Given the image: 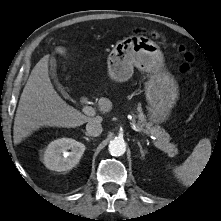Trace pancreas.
<instances>
[{
	"label": "pancreas",
	"instance_id": "cf45deb5",
	"mask_svg": "<svg viewBox=\"0 0 221 221\" xmlns=\"http://www.w3.org/2000/svg\"><path fill=\"white\" fill-rule=\"evenodd\" d=\"M137 111L138 115L136 117L139 119L137 127L145 134L155 136L160 149L167 153L169 157H174L178 153V149L175 144L170 142V135L160 126H152L151 123H147L141 107H137Z\"/></svg>",
	"mask_w": 221,
	"mask_h": 221
}]
</instances>
